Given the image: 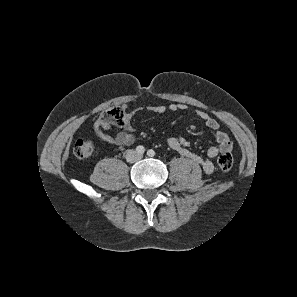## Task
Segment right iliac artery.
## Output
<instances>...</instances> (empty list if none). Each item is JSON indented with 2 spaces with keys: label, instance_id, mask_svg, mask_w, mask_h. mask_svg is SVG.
<instances>
[{
  "label": "right iliac artery",
  "instance_id": "obj_1",
  "mask_svg": "<svg viewBox=\"0 0 297 297\" xmlns=\"http://www.w3.org/2000/svg\"><path fill=\"white\" fill-rule=\"evenodd\" d=\"M136 151L139 154H143L145 152V148L140 145V146H137Z\"/></svg>",
  "mask_w": 297,
  "mask_h": 297
}]
</instances>
